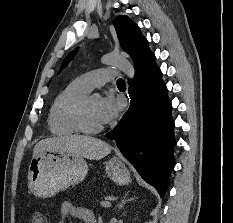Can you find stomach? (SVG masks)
Here are the masks:
<instances>
[{
	"mask_svg": "<svg viewBox=\"0 0 233 223\" xmlns=\"http://www.w3.org/2000/svg\"><path fill=\"white\" fill-rule=\"evenodd\" d=\"M106 173L117 185L131 181L130 171L119 157L106 161ZM89 165L85 157L67 151L42 149L33 155L28 167V185L35 197H53L85 179Z\"/></svg>",
	"mask_w": 233,
	"mask_h": 223,
	"instance_id": "stomach-1",
	"label": "stomach"
}]
</instances>
